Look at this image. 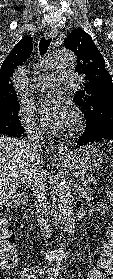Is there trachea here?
I'll return each instance as SVG.
<instances>
[{
    "mask_svg": "<svg viewBox=\"0 0 113 279\" xmlns=\"http://www.w3.org/2000/svg\"><path fill=\"white\" fill-rule=\"evenodd\" d=\"M52 39H46L45 37H43L41 40H40V43H39V52H40V55L43 56L46 54L47 50H48V47L51 43Z\"/></svg>",
    "mask_w": 113,
    "mask_h": 279,
    "instance_id": "3493384b",
    "label": "trachea"
}]
</instances>
